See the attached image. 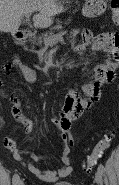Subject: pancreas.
Masks as SVG:
<instances>
[{"label": "pancreas", "instance_id": "cf45deb5", "mask_svg": "<svg viewBox=\"0 0 119 185\" xmlns=\"http://www.w3.org/2000/svg\"><path fill=\"white\" fill-rule=\"evenodd\" d=\"M78 33V30H74L72 32L73 35H76ZM53 36V33L52 32H47L45 33L44 35L42 36H39V37H33V39L31 40L34 44L36 45H41L44 40L48 37H52Z\"/></svg>", "mask_w": 119, "mask_h": 185}]
</instances>
